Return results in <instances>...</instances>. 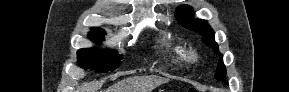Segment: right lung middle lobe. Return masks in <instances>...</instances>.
Listing matches in <instances>:
<instances>
[{
    "label": "right lung middle lobe",
    "instance_id": "dd1d6c3e",
    "mask_svg": "<svg viewBox=\"0 0 289 92\" xmlns=\"http://www.w3.org/2000/svg\"><path fill=\"white\" fill-rule=\"evenodd\" d=\"M104 32L91 31L89 38L95 42L103 40ZM78 63L84 69L97 68V72L115 70L120 64L122 56L112 51H101L96 48L80 49L77 52Z\"/></svg>",
    "mask_w": 289,
    "mask_h": 92
}]
</instances>
